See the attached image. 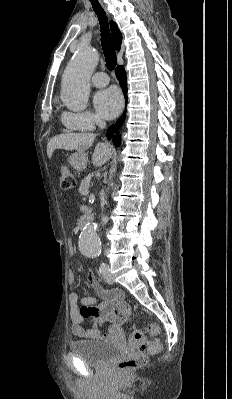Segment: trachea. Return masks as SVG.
Listing matches in <instances>:
<instances>
[{
  "mask_svg": "<svg viewBox=\"0 0 232 399\" xmlns=\"http://www.w3.org/2000/svg\"><path fill=\"white\" fill-rule=\"evenodd\" d=\"M90 2L92 4L93 10L96 12L97 17L99 18L102 50L105 56L106 65L109 70H113L117 64V58L109 31L107 16L98 0H90Z\"/></svg>",
  "mask_w": 232,
  "mask_h": 399,
  "instance_id": "1",
  "label": "trachea"
}]
</instances>
